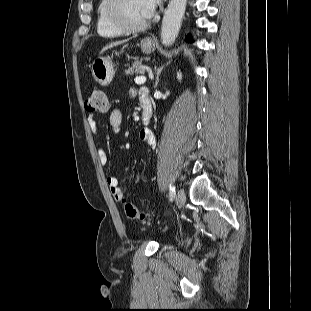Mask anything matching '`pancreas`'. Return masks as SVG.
<instances>
[{"label": "pancreas", "instance_id": "pancreas-1", "mask_svg": "<svg viewBox=\"0 0 311 311\" xmlns=\"http://www.w3.org/2000/svg\"><path fill=\"white\" fill-rule=\"evenodd\" d=\"M144 71V67L141 65L140 62H135L133 66L129 67L127 70H125L126 75H133L142 73Z\"/></svg>", "mask_w": 311, "mask_h": 311}]
</instances>
